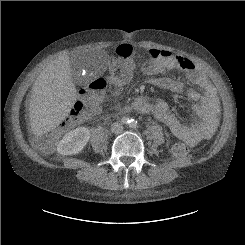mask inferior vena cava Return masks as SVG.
<instances>
[{
    "instance_id": "inferior-vena-cava-1",
    "label": "inferior vena cava",
    "mask_w": 245,
    "mask_h": 245,
    "mask_svg": "<svg viewBox=\"0 0 245 245\" xmlns=\"http://www.w3.org/2000/svg\"><path fill=\"white\" fill-rule=\"evenodd\" d=\"M122 130H123V126H122V123L120 122H114L111 125V131L114 133H120Z\"/></svg>"
}]
</instances>
